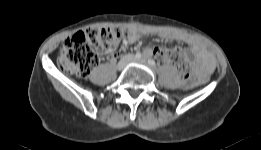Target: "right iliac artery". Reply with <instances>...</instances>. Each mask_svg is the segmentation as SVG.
I'll use <instances>...</instances> for the list:
<instances>
[{
  "mask_svg": "<svg viewBox=\"0 0 261 150\" xmlns=\"http://www.w3.org/2000/svg\"><path fill=\"white\" fill-rule=\"evenodd\" d=\"M141 57H142V55H141L140 52H137V53L135 54V58H136V59H140Z\"/></svg>",
  "mask_w": 261,
  "mask_h": 150,
  "instance_id": "obj_1",
  "label": "right iliac artery"
}]
</instances>
